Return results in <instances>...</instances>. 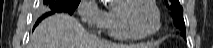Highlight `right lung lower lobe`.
<instances>
[{"label": "right lung lower lobe", "instance_id": "98d812e1", "mask_svg": "<svg viewBox=\"0 0 213 48\" xmlns=\"http://www.w3.org/2000/svg\"><path fill=\"white\" fill-rule=\"evenodd\" d=\"M51 14H53L52 12H48V13H46V14H44V16L43 17H41L38 21H37V23H36V25L39 23V21H41L43 18H45V17H47V16H49V15H51ZM35 25V26H36ZM34 26V27H35Z\"/></svg>", "mask_w": 213, "mask_h": 48}]
</instances>
